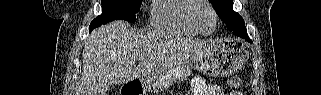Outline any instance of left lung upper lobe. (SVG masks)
<instances>
[{
  "label": "left lung upper lobe",
  "mask_w": 321,
  "mask_h": 95,
  "mask_svg": "<svg viewBox=\"0 0 321 95\" xmlns=\"http://www.w3.org/2000/svg\"><path fill=\"white\" fill-rule=\"evenodd\" d=\"M209 2L234 35L238 36L239 33L246 31L243 18L233 10V0H209Z\"/></svg>",
  "instance_id": "left-lung-upper-lobe-1"
}]
</instances>
